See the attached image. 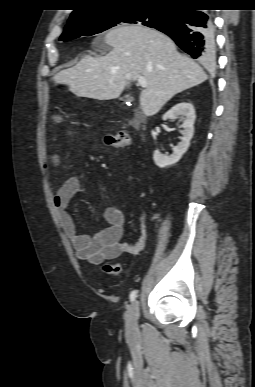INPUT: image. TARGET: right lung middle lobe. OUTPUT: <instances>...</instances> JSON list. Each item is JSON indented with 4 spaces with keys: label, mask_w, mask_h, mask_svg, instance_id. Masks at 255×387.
Returning <instances> with one entry per match:
<instances>
[{
    "label": "right lung middle lobe",
    "mask_w": 255,
    "mask_h": 387,
    "mask_svg": "<svg viewBox=\"0 0 255 387\" xmlns=\"http://www.w3.org/2000/svg\"><path fill=\"white\" fill-rule=\"evenodd\" d=\"M170 9L169 7L157 6H121L104 10L68 22L60 41L91 36L125 23L142 24L156 28L164 25Z\"/></svg>",
    "instance_id": "right-lung-middle-lobe-1"
}]
</instances>
